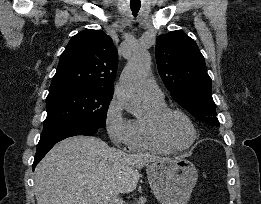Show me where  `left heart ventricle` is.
I'll return each instance as SVG.
<instances>
[{
	"label": "left heart ventricle",
	"mask_w": 261,
	"mask_h": 204,
	"mask_svg": "<svg viewBox=\"0 0 261 204\" xmlns=\"http://www.w3.org/2000/svg\"><path fill=\"white\" fill-rule=\"evenodd\" d=\"M165 132L168 138L178 146L187 145L193 137L189 124L178 115H173L167 120Z\"/></svg>",
	"instance_id": "b2bd125f"
}]
</instances>
